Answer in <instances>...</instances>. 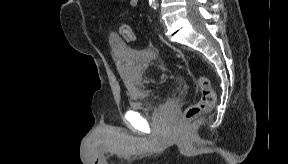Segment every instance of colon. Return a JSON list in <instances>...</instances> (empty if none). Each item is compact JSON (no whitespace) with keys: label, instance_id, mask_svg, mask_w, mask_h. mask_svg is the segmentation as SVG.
<instances>
[{"label":"colon","instance_id":"obj_1","mask_svg":"<svg viewBox=\"0 0 288 164\" xmlns=\"http://www.w3.org/2000/svg\"><path fill=\"white\" fill-rule=\"evenodd\" d=\"M118 30L125 41L132 42L134 40L131 28L127 23H120ZM197 88L200 93L199 100L187 108L186 120H191L192 118L198 117L205 112H209L215 106V92L209 79L199 76L197 78Z\"/></svg>","mask_w":288,"mask_h":164}]
</instances>
